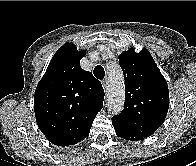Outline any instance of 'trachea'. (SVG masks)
Instances as JSON below:
<instances>
[{
  "label": "trachea",
  "mask_w": 196,
  "mask_h": 166,
  "mask_svg": "<svg viewBox=\"0 0 196 166\" xmlns=\"http://www.w3.org/2000/svg\"><path fill=\"white\" fill-rule=\"evenodd\" d=\"M95 77L97 79H103L104 75H105V71H104V68L101 66V65H98L94 68V71H93Z\"/></svg>",
  "instance_id": "trachea-1"
}]
</instances>
